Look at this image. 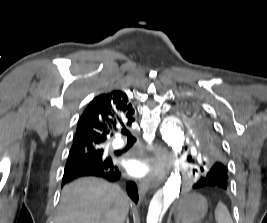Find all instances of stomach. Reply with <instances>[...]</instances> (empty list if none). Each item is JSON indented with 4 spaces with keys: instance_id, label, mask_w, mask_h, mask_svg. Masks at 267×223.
I'll list each match as a JSON object with an SVG mask.
<instances>
[{
    "instance_id": "stomach-1",
    "label": "stomach",
    "mask_w": 267,
    "mask_h": 223,
    "mask_svg": "<svg viewBox=\"0 0 267 223\" xmlns=\"http://www.w3.org/2000/svg\"><path fill=\"white\" fill-rule=\"evenodd\" d=\"M208 209L207 200L200 194H186L177 206L176 220L178 223H198Z\"/></svg>"
}]
</instances>
